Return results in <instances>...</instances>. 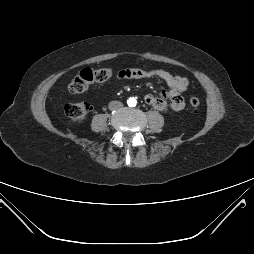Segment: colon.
<instances>
[{"label":"colon","instance_id":"obj_1","mask_svg":"<svg viewBox=\"0 0 254 254\" xmlns=\"http://www.w3.org/2000/svg\"><path fill=\"white\" fill-rule=\"evenodd\" d=\"M112 75L113 72L109 68H85L70 82L68 89L72 93H81L95 83H103L110 80ZM189 102L193 108L200 106V99L197 97H191ZM64 111L71 120L82 121L89 111V105L85 102L69 103L65 105Z\"/></svg>","mask_w":254,"mask_h":254}]
</instances>
